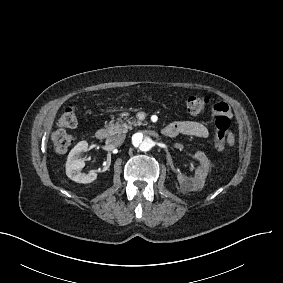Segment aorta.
Listing matches in <instances>:
<instances>
[{
    "mask_svg": "<svg viewBox=\"0 0 283 283\" xmlns=\"http://www.w3.org/2000/svg\"><path fill=\"white\" fill-rule=\"evenodd\" d=\"M154 146V141L146 132H137L131 139V148L136 152H149Z\"/></svg>",
    "mask_w": 283,
    "mask_h": 283,
    "instance_id": "aorta-1",
    "label": "aorta"
}]
</instances>
